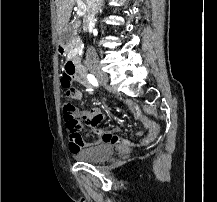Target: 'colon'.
Returning a JSON list of instances; mask_svg holds the SVG:
<instances>
[{
	"mask_svg": "<svg viewBox=\"0 0 217 202\" xmlns=\"http://www.w3.org/2000/svg\"><path fill=\"white\" fill-rule=\"evenodd\" d=\"M60 96H63L62 99V109L61 117H64L65 122L67 124V128L71 131H77L80 129V125L78 121L74 117V107L73 105L68 102L69 96L72 95L71 91H60Z\"/></svg>",
	"mask_w": 217,
	"mask_h": 202,
	"instance_id": "obj_1",
	"label": "colon"
}]
</instances>
